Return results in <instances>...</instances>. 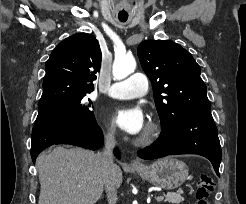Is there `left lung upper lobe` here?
<instances>
[{
	"mask_svg": "<svg viewBox=\"0 0 246 204\" xmlns=\"http://www.w3.org/2000/svg\"><path fill=\"white\" fill-rule=\"evenodd\" d=\"M137 53L152 82L162 128L179 117L210 113L200 66L188 51L172 41L146 40Z\"/></svg>",
	"mask_w": 246,
	"mask_h": 204,
	"instance_id": "5c2ea615",
	"label": "left lung upper lobe"
}]
</instances>
